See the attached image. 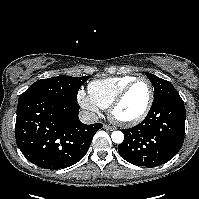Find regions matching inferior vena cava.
<instances>
[{"instance_id":"obj_1","label":"inferior vena cava","mask_w":199,"mask_h":199,"mask_svg":"<svg viewBox=\"0 0 199 199\" xmlns=\"http://www.w3.org/2000/svg\"><path fill=\"white\" fill-rule=\"evenodd\" d=\"M80 121L84 124H94L98 122V116L89 111H83L80 113Z\"/></svg>"}]
</instances>
